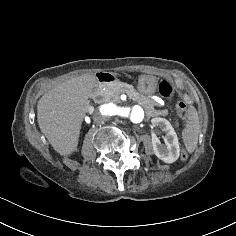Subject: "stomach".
Here are the masks:
<instances>
[{
  "instance_id": "0dacf381",
  "label": "stomach",
  "mask_w": 236,
  "mask_h": 236,
  "mask_svg": "<svg viewBox=\"0 0 236 236\" xmlns=\"http://www.w3.org/2000/svg\"><path fill=\"white\" fill-rule=\"evenodd\" d=\"M158 78L151 74H141L138 79V90L145 94H151L155 91Z\"/></svg>"
}]
</instances>
